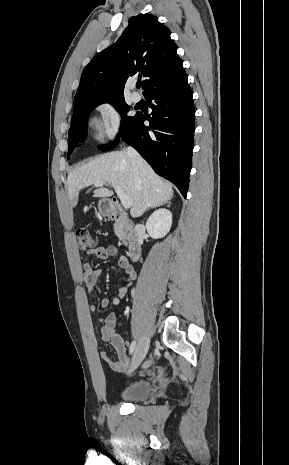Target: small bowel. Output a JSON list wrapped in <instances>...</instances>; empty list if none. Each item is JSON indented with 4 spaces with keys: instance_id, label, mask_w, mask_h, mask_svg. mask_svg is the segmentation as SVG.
Instances as JSON below:
<instances>
[{
    "instance_id": "obj_1",
    "label": "small bowel",
    "mask_w": 289,
    "mask_h": 465,
    "mask_svg": "<svg viewBox=\"0 0 289 465\" xmlns=\"http://www.w3.org/2000/svg\"><path fill=\"white\" fill-rule=\"evenodd\" d=\"M88 256L91 258L96 257L101 260H106L108 258L118 256V250L115 246L96 247L88 251ZM118 266L124 272V279L122 282L123 285L118 288L114 296L110 298H104L101 301V306L103 308H106L109 305L117 306L120 303V300L126 296L128 288L131 286L136 277L135 271L130 266L126 257L118 256ZM101 275L102 270L94 269L90 262L83 264V282L85 283L88 293H92L94 291L97 281ZM89 309L95 313L97 323L102 326V341L104 343L110 344L115 349L117 356V359L112 360L109 358L107 351L105 349H101V359L104 360L113 371L119 373L124 372L130 366L131 360L127 353L128 344L123 340V338L116 330V314L114 312H110L103 316L97 312V307L93 303L89 305ZM150 363L151 360L147 363V365Z\"/></svg>"
}]
</instances>
